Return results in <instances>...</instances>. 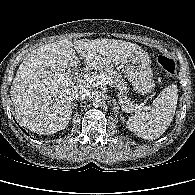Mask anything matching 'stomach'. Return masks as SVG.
I'll list each match as a JSON object with an SVG mask.
<instances>
[{"mask_svg":"<svg viewBox=\"0 0 195 195\" xmlns=\"http://www.w3.org/2000/svg\"><path fill=\"white\" fill-rule=\"evenodd\" d=\"M125 77L140 94L150 93L155 86L151 60L147 53L136 54L125 61Z\"/></svg>","mask_w":195,"mask_h":195,"instance_id":"1","label":"stomach"}]
</instances>
